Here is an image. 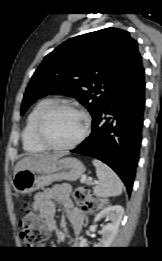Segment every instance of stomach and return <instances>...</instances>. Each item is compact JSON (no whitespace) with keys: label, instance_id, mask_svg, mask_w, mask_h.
<instances>
[{"label":"stomach","instance_id":"1","mask_svg":"<svg viewBox=\"0 0 162 261\" xmlns=\"http://www.w3.org/2000/svg\"><path fill=\"white\" fill-rule=\"evenodd\" d=\"M84 171V165L77 158L61 156L37 168L16 172L12 185L17 193L29 194L56 181H75Z\"/></svg>","mask_w":162,"mask_h":261}]
</instances>
